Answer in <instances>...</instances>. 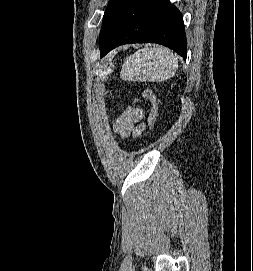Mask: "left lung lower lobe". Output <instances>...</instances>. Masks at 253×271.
<instances>
[{
    "label": "left lung lower lobe",
    "mask_w": 253,
    "mask_h": 271,
    "mask_svg": "<svg viewBox=\"0 0 253 271\" xmlns=\"http://www.w3.org/2000/svg\"><path fill=\"white\" fill-rule=\"evenodd\" d=\"M130 43H158L186 59L182 14L169 0H130L114 32L100 49L101 57Z\"/></svg>",
    "instance_id": "obj_1"
}]
</instances>
